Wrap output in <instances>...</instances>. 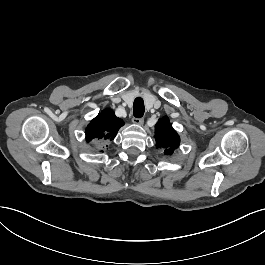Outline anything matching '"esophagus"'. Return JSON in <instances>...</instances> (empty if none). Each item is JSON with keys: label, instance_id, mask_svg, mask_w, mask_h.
I'll return each instance as SVG.
<instances>
[{"label": "esophagus", "instance_id": "1", "mask_svg": "<svg viewBox=\"0 0 265 265\" xmlns=\"http://www.w3.org/2000/svg\"><path fill=\"white\" fill-rule=\"evenodd\" d=\"M144 120L142 118H133L132 119V123L138 126H142L143 125Z\"/></svg>", "mask_w": 265, "mask_h": 265}]
</instances>
